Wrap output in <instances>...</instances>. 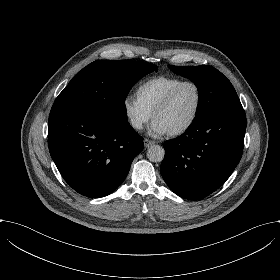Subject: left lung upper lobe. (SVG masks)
<instances>
[{
  "instance_id": "1",
  "label": "left lung upper lobe",
  "mask_w": 280,
  "mask_h": 280,
  "mask_svg": "<svg viewBox=\"0 0 280 280\" xmlns=\"http://www.w3.org/2000/svg\"><path fill=\"white\" fill-rule=\"evenodd\" d=\"M168 67L176 74L189 78L197 86L199 98L196 117L240 102L230 81L214 67L172 65Z\"/></svg>"
}]
</instances>
